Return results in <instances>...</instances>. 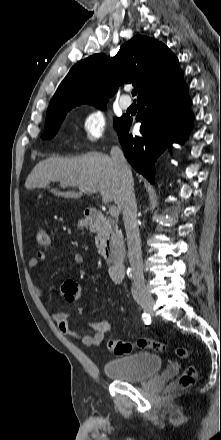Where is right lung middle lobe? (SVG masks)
<instances>
[{
    "mask_svg": "<svg viewBox=\"0 0 221 440\" xmlns=\"http://www.w3.org/2000/svg\"><path fill=\"white\" fill-rule=\"evenodd\" d=\"M77 105H69L53 110H47V118L45 123L44 133L42 139L53 138L60 128L67 112ZM124 117L115 119V129L118 128Z\"/></svg>",
    "mask_w": 221,
    "mask_h": 440,
    "instance_id": "1",
    "label": "right lung middle lobe"
}]
</instances>
